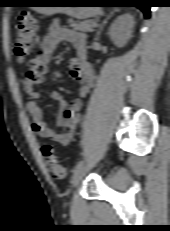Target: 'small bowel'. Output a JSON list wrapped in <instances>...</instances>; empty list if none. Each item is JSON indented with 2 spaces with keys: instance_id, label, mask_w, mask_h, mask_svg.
Returning <instances> with one entry per match:
<instances>
[{
  "instance_id": "c3829d8e",
  "label": "small bowel",
  "mask_w": 170,
  "mask_h": 231,
  "mask_svg": "<svg viewBox=\"0 0 170 231\" xmlns=\"http://www.w3.org/2000/svg\"><path fill=\"white\" fill-rule=\"evenodd\" d=\"M62 42L72 43L77 51V58L69 61L68 68L70 76L79 82L80 99L70 104L64 102L60 104L57 125L62 128V131L58 132L44 122L43 113L38 104L40 93L36 90V87L44 82L52 55ZM93 84L94 74L86 61L85 36L75 30L64 28L58 23L51 25L40 42L38 53L29 62L26 78L23 81V89L28 99L26 108L32 118V131L60 145H68L80 122L81 99L87 96ZM51 98L59 100L60 95L53 92L51 93Z\"/></svg>"
}]
</instances>
